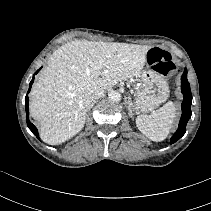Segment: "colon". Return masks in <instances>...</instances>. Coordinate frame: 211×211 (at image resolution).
Returning <instances> with one entry per match:
<instances>
[{
  "mask_svg": "<svg viewBox=\"0 0 211 211\" xmlns=\"http://www.w3.org/2000/svg\"><path fill=\"white\" fill-rule=\"evenodd\" d=\"M148 61L154 69L162 75L168 76L176 73L177 67L168 52L153 48L148 52Z\"/></svg>",
  "mask_w": 211,
  "mask_h": 211,
  "instance_id": "colon-1",
  "label": "colon"
}]
</instances>
